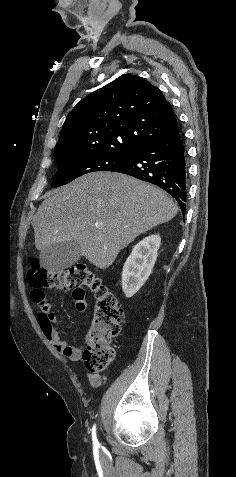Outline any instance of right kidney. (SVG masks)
<instances>
[{
	"label": "right kidney",
	"mask_w": 236,
	"mask_h": 477,
	"mask_svg": "<svg viewBox=\"0 0 236 477\" xmlns=\"http://www.w3.org/2000/svg\"><path fill=\"white\" fill-rule=\"evenodd\" d=\"M160 244V236L151 235L134 246L122 272V289L126 297H132L149 278Z\"/></svg>",
	"instance_id": "right-kidney-1"
}]
</instances>
